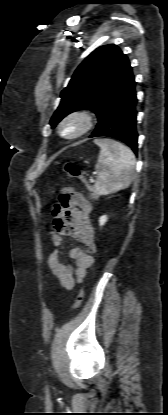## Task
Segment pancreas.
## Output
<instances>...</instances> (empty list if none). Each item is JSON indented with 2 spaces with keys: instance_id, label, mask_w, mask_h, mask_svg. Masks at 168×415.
<instances>
[{
  "instance_id": "pancreas-1",
  "label": "pancreas",
  "mask_w": 168,
  "mask_h": 415,
  "mask_svg": "<svg viewBox=\"0 0 168 415\" xmlns=\"http://www.w3.org/2000/svg\"><path fill=\"white\" fill-rule=\"evenodd\" d=\"M91 192H92V196L94 197V198H97L98 196H97V194H96V192L93 190V189H91Z\"/></svg>"
}]
</instances>
